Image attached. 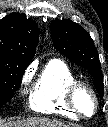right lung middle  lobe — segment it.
Wrapping results in <instances>:
<instances>
[{"label": "right lung middle lobe", "mask_w": 108, "mask_h": 127, "mask_svg": "<svg viewBox=\"0 0 108 127\" xmlns=\"http://www.w3.org/2000/svg\"><path fill=\"white\" fill-rule=\"evenodd\" d=\"M28 64L22 61L0 56V105L14 96L22 82V76Z\"/></svg>", "instance_id": "obj_1"}]
</instances>
